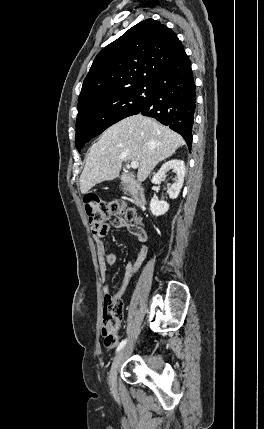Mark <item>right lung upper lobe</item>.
Masks as SVG:
<instances>
[{
    "label": "right lung upper lobe",
    "instance_id": "right-lung-upper-lobe-1",
    "mask_svg": "<svg viewBox=\"0 0 264 429\" xmlns=\"http://www.w3.org/2000/svg\"><path fill=\"white\" fill-rule=\"evenodd\" d=\"M177 35L146 19L98 53L87 74L78 106L137 84H153L183 53Z\"/></svg>",
    "mask_w": 264,
    "mask_h": 429
}]
</instances>
